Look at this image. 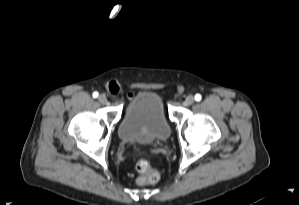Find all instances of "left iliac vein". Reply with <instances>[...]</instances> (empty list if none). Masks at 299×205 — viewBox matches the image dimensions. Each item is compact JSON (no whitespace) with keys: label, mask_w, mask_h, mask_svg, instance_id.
<instances>
[{"label":"left iliac vein","mask_w":299,"mask_h":205,"mask_svg":"<svg viewBox=\"0 0 299 205\" xmlns=\"http://www.w3.org/2000/svg\"><path fill=\"white\" fill-rule=\"evenodd\" d=\"M195 99L193 97V95H188L186 96L185 100H184V104L185 105H192L194 103Z\"/></svg>","instance_id":"obj_1"}]
</instances>
